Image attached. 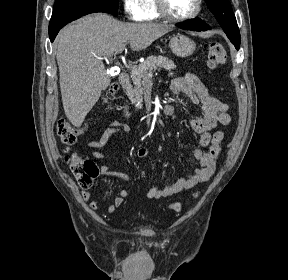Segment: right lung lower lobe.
Wrapping results in <instances>:
<instances>
[{"instance_id": "98d812e1", "label": "right lung lower lobe", "mask_w": 288, "mask_h": 280, "mask_svg": "<svg viewBox=\"0 0 288 280\" xmlns=\"http://www.w3.org/2000/svg\"><path fill=\"white\" fill-rule=\"evenodd\" d=\"M94 12L111 13L102 6L90 3L73 5L53 13L49 24V37L51 42L54 41L59 30L67 23Z\"/></svg>"}]
</instances>
